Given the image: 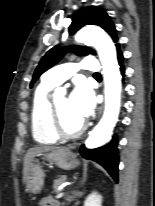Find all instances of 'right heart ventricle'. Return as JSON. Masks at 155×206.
I'll return each instance as SVG.
<instances>
[{
	"label": "right heart ventricle",
	"mask_w": 155,
	"mask_h": 206,
	"mask_svg": "<svg viewBox=\"0 0 155 206\" xmlns=\"http://www.w3.org/2000/svg\"><path fill=\"white\" fill-rule=\"evenodd\" d=\"M55 85L45 81L37 87L31 107V129L34 139L40 144H52L58 140L50 118L48 94Z\"/></svg>",
	"instance_id": "1"
}]
</instances>
